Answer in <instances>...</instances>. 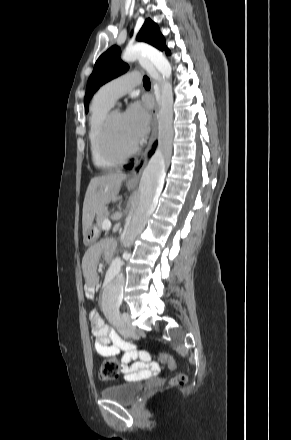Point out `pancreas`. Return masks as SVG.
<instances>
[{"label": "pancreas", "mask_w": 291, "mask_h": 440, "mask_svg": "<svg viewBox=\"0 0 291 440\" xmlns=\"http://www.w3.org/2000/svg\"><path fill=\"white\" fill-rule=\"evenodd\" d=\"M106 214H107L106 207H103L101 210L98 211L97 218H96V222H97L96 225H97L98 229L102 228V223L106 219Z\"/></svg>", "instance_id": "pancreas-1"}]
</instances>
